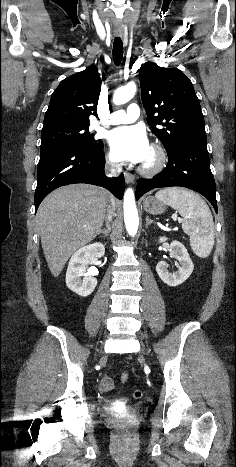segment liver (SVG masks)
I'll list each match as a JSON object with an SVG mask.
<instances>
[{
    "mask_svg": "<svg viewBox=\"0 0 236 467\" xmlns=\"http://www.w3.org/2000/svg\"><path fill=\"white\" fill-rule=\"evenodd\" d=\"M117 200L97 186L72 184L50 193L40 204L36 222L48 267L58 277L69 257L100 232L106 208Z\"/></svg>",
    "mask_w": 236,
    "mask_h": 467,
    "instance_id": "liver-1",
    "label": "liver"
}]
</instances>
